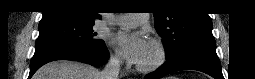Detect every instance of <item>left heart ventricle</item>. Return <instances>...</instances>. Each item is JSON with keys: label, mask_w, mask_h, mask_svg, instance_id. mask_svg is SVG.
<instances>
[{"label": "left heart ventricle", "mask_w": 255, "mask_h": 79, "mask_svg": "<svg viewBox=\"0 0 255 79\" xmlns=\"http://www.w3.org/2000/svg\"><path fill=\"white\" fill-rule=\"evenodd\" d=\"M137 26H138L137 24H131L129 26V28L134 29ZM156 56H157L156 49L153 48L151 45H148L147 52H146L145 56L143 57V59L140 61L139 64H141V65H149V64H151V63H153L155 61Z\"/></svg>", "instance_id": "obj_1"}]
</instances>
